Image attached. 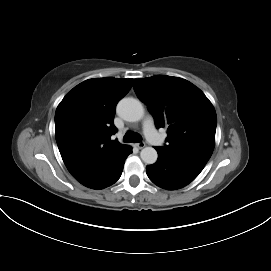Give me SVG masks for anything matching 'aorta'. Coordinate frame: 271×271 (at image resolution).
<instances>
[{
    "label": "aorta",
    "mask_w": 271,
    "mask_h": 271,
    "mask_svg": "<svg viewBox=\"0 0 271 271\" xmlns=\"http://www.w3.org/2000/svg\"><path fill=\"white\" fill-rule=\"evenodd\" d=\"M117 113L124 120L137 122L144 116L142 103L134 98H123L117 105ZM142 161L146 164H154L157 161L158 154L153 147H145L140 152Z\"/></svg>",
    "instance_id": "aorta-1"
}]
</instances>
